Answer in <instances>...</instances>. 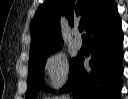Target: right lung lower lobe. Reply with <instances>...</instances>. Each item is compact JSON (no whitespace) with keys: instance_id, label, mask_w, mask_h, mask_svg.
<instances>
[{"instance_id":"right-lung-lower-lobe-1","label":"right lung lower lobe","mask_w":128,"mask_h":99,"mask_svg":"<svg viewBox=\"0 0 128 99\" xmlns=\"http://www.w3.org/2000/svg\"><path fill=\"white\" fill-rule=\"evenodd\" d=\"M87 37L89 48L78 53L59 93L71 91L74 99H120L123 34L117 5L91 25ZM90 55V68H85L83 61Z\"/></svg>"}]
</instances>
